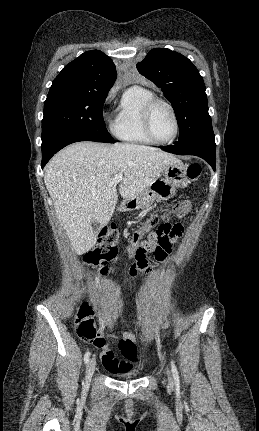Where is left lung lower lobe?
I'll return each mask as SVG.
<instances>
[{
  "mask_svg": "<svg viewBox=\"0 0 259 431\" xmlns=\"http://www.w3.org/2000/svg\"><path fill=\"white\" fill-rule=\"evenodd\" d=\"M161 149L168 150L180 155H195L207 161L215 171V143L208 142H192V143H177L172 146H162Z\"/></svg>",
  "mask_w": 259,
  "mask_h": 431,
  "instance_id": "0a47b994",
  "label": "left lung lower lobe"
}]
</instances>
